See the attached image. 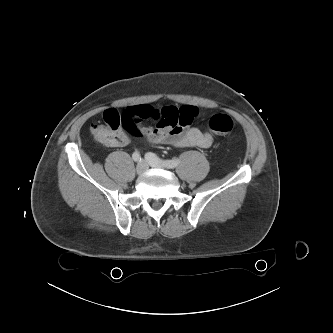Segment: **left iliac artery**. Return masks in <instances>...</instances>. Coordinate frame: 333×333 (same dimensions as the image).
Masks as SVG:
<instances>
[{
  "instance_id": "1",
  "label": "left iliac artery",
  "mask_w": 333,
  "mask_h": 333,
  "mask_svg": "<svg viewBox=\"0 0 333 333\" xmlns=\"http://www.w3.org/2000/svg\"><path fill=\"white\" fill-rule=\"evenodd\" d=\"M151 154H152V153H148V154H146V158H147L149 155H151ZM164 163H165V165L167 166V168H171V169H173V168H175V167H177V166L179 165L180 160H179L178 158H175V159H172V160H165Z\"/></svg>"
}]
</instances>
